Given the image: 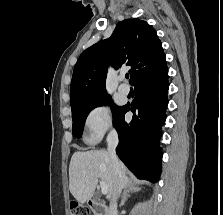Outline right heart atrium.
<instances>
[{
	"label": "right heart atrium",
	"instance_id": "d8ad5b80",
	"mask_svg": "<svg viewBox=\"0 0 223 215\" xmlns=\"http://www.w3.org/2000/svg\"><path fill=\"white\" fill-rule=\"evenodd\" d=\"M112 127V114L106 104H96L89 109L85 116L84 128L91 130L95 139L100 138L105 131Z\"/></svg>",
	"mask_w": 223,
	"mask_h": 215
}]
</instances>
